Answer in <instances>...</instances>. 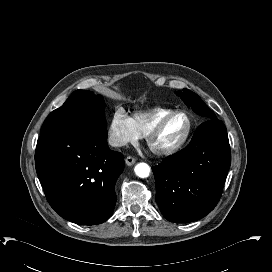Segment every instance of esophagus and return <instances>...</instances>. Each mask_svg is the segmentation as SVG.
<instances>
[{
	"label": "esophagus",
	"instance_id": "34e87169",
	"mask_svg": "<svg viewBox=\"0 0 272 272\" xmlns=\"http://www.w3.org/2000/svg\"><path fill=\"white\" fill-rule=\"evenodd\" d=\"M135 162H136V160L133 157H131V156H128L125 159V163L128 166H132Z\"/></svg>",
	"mask_w": 272,
	"mask_h": 272
}]
</instances>
